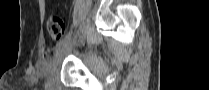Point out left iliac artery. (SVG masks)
<instances>
[{"instance_id":"44dca946","label":"left iliac artery","mask_w":209,"mask_h":90,"mask_svg":"<svg viewBox=\"0 0 209 90\" xmlns=\"http://www.w3.org/2000/svg\"><path fill=\"white\" fill-rule=\"evenodd\" d=\"M69 32H72V29H69ZM71 40V35H67L63 40L56 44L54 51L57 52L63 45L68 43Z\"/></svg>"}]
</instances>
